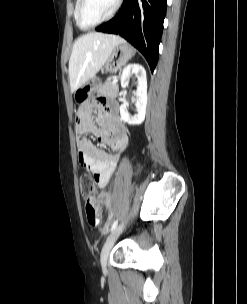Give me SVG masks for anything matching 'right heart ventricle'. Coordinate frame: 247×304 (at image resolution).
Returning a JSON list of instances; mask_svg holds the SVG:
<instances>
[{
  "instance_id": "obj_1",
  "label": "right heart ventricle",
  "mask_w": 247,
  "mask_h": 304,
  "mask_svg": "<svg viewBox=\"0 0 247 304\" xmlns=\"http://www.w3.org/2000/svg\"><path fill=\"white\" fill-rule=\"evenodd\" d=\"M78 3H79V0H76L75 1V7H74V18H75V21L77 23V8H78ZM78 25V23H77Z\"/></svg>"
}]
</instances>
